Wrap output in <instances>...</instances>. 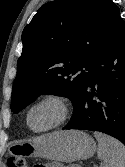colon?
<instances>
[{
  "label": "colon",
  "mask_w": 125,
  "mask_h": 167,
  "mask_svg": "<svg viewBox=\"0 0 125 167\" xmlns=\"http://www.w3.org/2000/svg\"><path fill=\"white\" fill-rule=\"evenodd\" d=\"M8 167H29V164L26 159L20 156H11L7 161ZM37 167V165L33 166Z\"/></svg>",
  "instance_id": "5ec220e1"
}]
</instances>
